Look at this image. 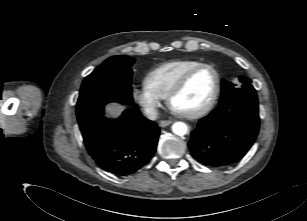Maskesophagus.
Returning a JSON list of instances; mask_svg holds the SVG:
<instances>
[{
    "label": "esophagus",
    "instance_id": "34e87169",
    "mask_svg": "<svg viewBox=\"0 0 307 221\" xmlns=\"http://www.w3.org/2000/svg\"><path fill=\"white\" fill-rule=\"evenodd\" d=\"M172 123H173L172 120H162V121H160L159 125H160L161 127H166V126H168V125H170V124H172Z\"/></svg>",
    "mask_w": 307,
    "mask_h": 221
}]
</instances>
